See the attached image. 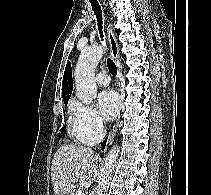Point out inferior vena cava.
<instances>
[{
  "label": "inferior vena cava",
  "mask_w": 211,
  "mask_h": 195,
  "mask_svg": "<svg viewBox=\"0 0 211 195\" xmlns=\"http://www.w3.org/2000/svg\"><path fill=\"white\" fill-rule=\"evenodd\" d=\"M99 129H100L101 131L104 130V126H103V123H102V122L99 123Z\"/></svg>",
  "instance_id": "inferior-vena-cava-1"
}]
</instances>
